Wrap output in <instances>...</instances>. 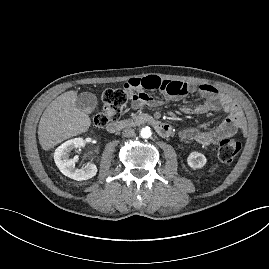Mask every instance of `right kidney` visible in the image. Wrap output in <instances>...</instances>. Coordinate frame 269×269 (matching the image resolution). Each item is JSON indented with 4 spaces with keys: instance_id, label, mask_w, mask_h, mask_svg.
<instances>
[{
    "instance_id": "ca27d5eb",
    "label": "right kidney",
    "mask_w": 269,
    "mask_h": 269,
    "mask_svg": "<svg viewBox=\"0 0 269 269\" xmlns=\"http://www.w3.org/2000/svg\"><path fill=\"white\" fill-rule=\"evenodd\" d=\"M85 146L83 138H74L60 145L54 153V160L59 170L67 177L82 181L94 177L97 173V167L93 163H88L84 168L78 169L75 167L77 158H70V153L73 149Z\"/></svg>"
}]
</instances>
